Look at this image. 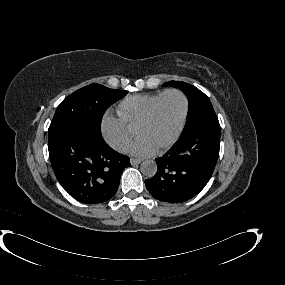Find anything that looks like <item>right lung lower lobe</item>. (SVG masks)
I'll return each instance as SVG.
<instances>
[{
  "instance_id": "98d812e1",
  "label": "right lung lower lobe",
  "mask_w": 285,
  "mask_h": 285,
  "mask_svg": "<svg viewBox=\"0 0 285 285\" xmlns=\"http://www.w3.org/2000/svg\"><path fill=\"white\" fill-rule=\"evenodd\" d=\"M54 173L77 201L98 204L117 191L130 159L110 148L101 134L84 128L64 130L48 141Z\"/></svg>"
}]
</instances>
